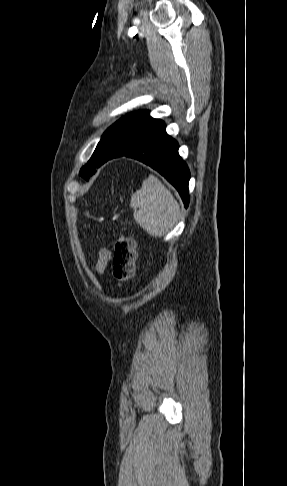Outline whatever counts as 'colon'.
<instances>
[{"mask_svg": "<svg viewBox=\"0 0 287 486\" xmlns=\"http://www.w3.org/2000/svg\"><path fill=\"white\" fill-rule=\"evenodd\" d=\"M136 242L123 233L115 235L113 243V276L119 284L128 282L135 274Z\"/></svg>", "mask_w": 287, "mask_h": 486, "instance_id": "1", "label": "colon"}]
</instances>
